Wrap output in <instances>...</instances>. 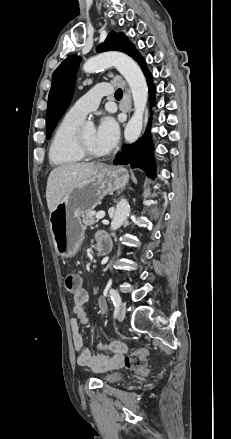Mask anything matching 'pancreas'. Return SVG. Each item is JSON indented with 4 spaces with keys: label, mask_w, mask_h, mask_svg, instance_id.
<instances>
[{
    "label": "pancreas",
    "mask_w": 231,
    "mask_h": 439,
    "mask_svg": "<svg viewBox=\"0 0 231 439\" xmlns=\"http://www.w3.org/2000/svg\"><path fill=\"white\" fill-rule=\"evenodd\" d=\"M95 214H96L95 212L89 211V212H87L86 214L83 215L82 221H83V225H84L85 228L95 224V222H96V220L94 218Z\"/></svg>",
    "instance_id": "1"
}]
</instances>
